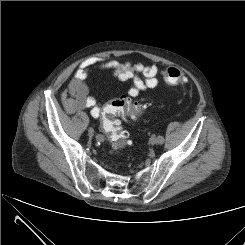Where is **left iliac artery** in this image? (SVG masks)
<instances>
[{
  "instance_id": "left-iliac-artery-1",
  "label": "left iliac artery",
  "mask_w": 245,
  "mask_h": 245,
  "mask_svg": "<svg viewBox=\"0 0 245 245\" xmlns=\"http://www.w3.org/2000/svg\"><path fill=\"white\" fill-rule=\"evenodd\" d=\"M157 142L158 144H163L164 143V138L162 136L157 137Z\"/></svg>"
}]
</instances>
